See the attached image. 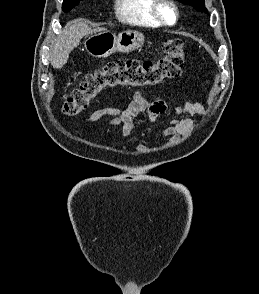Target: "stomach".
I'll return each mask as SVG.
<instances>
[{
    "mask_svg": "<svg viewBox=\"0 0 259 294\" xmlns=\"http://www.w3.org/2000/svg\"><path fill=\"white\" fill-rule=\"evenodd\" d=\"M144 41L143 34L138 31H123L116 36L108 30H101L91 34L84 46L93 57L106 58L116 52L134 51L142 47Z\"/></svg>",
    "mask_w": 259,
    "mask_h": 294,
    "instance_id": "stomach-1",
    "label": "stomach"
}]
</instances>
